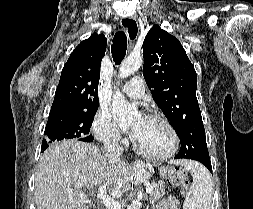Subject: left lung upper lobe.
I'll use <instances>...</instances> for the list:
<instances>
[{
	"mask_svg": "<svg viewBox=\"0 0 253 209\" xmlns=\"http://www.w3.org/2000/svg\"><path fill=\"white\" fill-rule=\"evenodd\" d=\"M143 76L181 140L177 158H209L196 97L197 74L180 41L154 25L143 42Z\"/></svg>",
	"mask_w": 253,
	"mask_h": 209,
	"instance_id": "obj_1",
	"label": "left lung upper lobe"
}]
</instances>
